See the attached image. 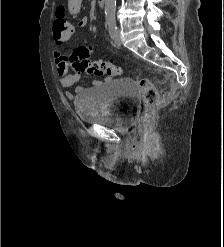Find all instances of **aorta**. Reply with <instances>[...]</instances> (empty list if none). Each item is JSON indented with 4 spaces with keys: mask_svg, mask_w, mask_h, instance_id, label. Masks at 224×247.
I'll return each instance as SVG.
<instances>
[{
    "mask_svg": "<svg viewBox=\"0 0 224 247\" xmlns=\"http://www.w3.org/2000/svg\"><path fill=\"white\" fill-rule=\"evenodd\" d=\"M116 0H105L106 20H115Z\"/></svg>",
    "mask_w": 224,
    "mask_h": 247,
    "instance_id": "aorta-1",
    "label": "aorta"
}]
</instances>
